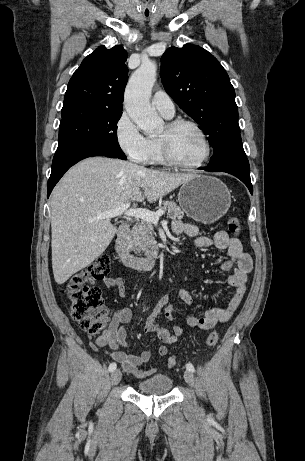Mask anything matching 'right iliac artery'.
<instances>
[{
    "instance_id": "1",
    "label": "right iliac artery",
    "mask_w": 305,
    "mask_h": 461,
    "mask_svg": "<svg viewBox=\"0 0 305 461\" xmlns=\"http://www.w3.org/2000/svg\"><path fill=\"white\" fill-rule=\"evenodd\" d=\"M116 368H117L116 363H115V362H112V363H110L108 369H109L110 372H112V371H114Z\"/></svg>"
}]
</instances>
